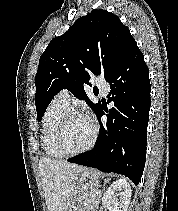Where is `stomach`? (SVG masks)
I'll return each mask as SVG.
<instances>
[{
  "instance_id": "0dacf381",
  "label": "stomach",
  "mask_w": 178,
  "mask_h": 211,
  "mask_svg": "<svg viewBox=\"0 0 178 211\" xmlns=\"http://www.w3.org/2000/svg\"><path fill=\"white\" fill-rule=\"evenodd\" d=\"M100 173L93 169L82 171L77 178L75 187L71 193L70 203L67 211H79L87 194L96 190L99 184Z\"/></svg>"
}]
</instances>
